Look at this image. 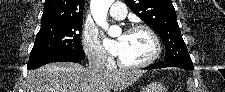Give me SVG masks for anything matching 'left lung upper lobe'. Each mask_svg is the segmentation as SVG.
Segmentation results:
<instances>
[{"label":"left lung upper lobe","mask_w":225,"mask_h":92,"mask_svg":"<svg viewBox=\"0 0 225 92\" xmlns=\"http://www.w3.org/2000/svg\"><path fill=\"white\" fill-rule=\"evenodd\" d=\"M131 10L160 36L165 62H192L182 39L171 0H126Z\"/></svg>","instance_id":"obj_1"}]
</instances>
